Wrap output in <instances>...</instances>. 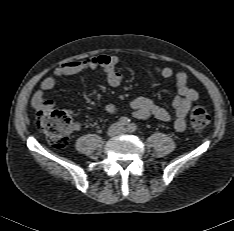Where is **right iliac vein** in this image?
Returning a JSON list of instances; mask_svg holds the SVG:
<instances>
[{"instance_id":"right-iliac-vein-1","label":"right iliac vein","mask_w":234,"mask_h":231,"mask_svg":"<svg viewBox=\"0 0 234 231\" xmlns=\"http://www.w3.org/2000/svg\"><path fill=\"white\" fill-rule=\"evenodd\" d=\"M116 131V127L111 128L110 132L113 134Z\"/></svg>"}]
</instances>
